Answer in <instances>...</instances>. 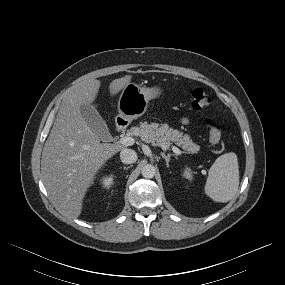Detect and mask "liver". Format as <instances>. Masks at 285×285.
I'll list each match as a JSON object with an SVG mask.
<instances>
[{"instance_id": "liver-1", "label": "liver", "mask_w": 285, "mask_h": 285, "mask_svg": "<svg viewBox=\"0 0 285 285\" xmlns=\"http://www.w3.org/2000/svg\"><path fill=\"white\" fill-rule=\"evenodd\" d=\"M130 80L131 76L113 80L110 94L116 95ZM100 86L99 80L87 79L64 96L42 151L44 185L62 213L72 218L80 216L85 194L100 168L123 149L100 143L81 114V106L95 101Z\"/></svg>"}]
</instances>
